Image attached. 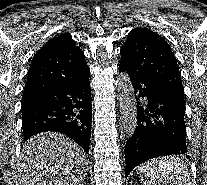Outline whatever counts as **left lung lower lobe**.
Returning a JSON list of instances; mask_svg holds the SVG:
<instances>
[{
	"label": "left lung lower lobe",
	"mask_w": 207,
	"mask_h": 185,
	"mask_svg": "<svg viewBox=\"0 0 207 185\" xmlns=\"http://www.w3.org/2000/svg\"><path fill=\"white\" fill-rule=\"evenodd\" d=\"M119 71L126 69L119 66ZM129 76L137 100V127L125 148L126 177L136 166L151 158L187 152L185 104L153 81Z\"/></svg>",
	"instance_id": "left-lung-lower-lobe-1"
}]
</instances>
